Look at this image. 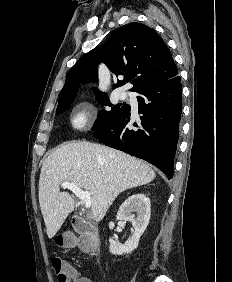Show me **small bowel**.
I'll return each mask as SVG.
<instances>
[{"label": "small bowel", "mask_w": 232, "mask_h": 282, "mask_svg": "<svg viewBox=\"0 0 232 282\" xmlns=\"http://www.w3.org/2000/svg\"><path fill=\"white\" fill-rule=\"evenodd\" d=\"M72 282H99V281H97L96 279L90 276L80 275L79 272L75 268H73Z\"/></svg>", "instance_id": "small-bowel-1"}]
</instances>
